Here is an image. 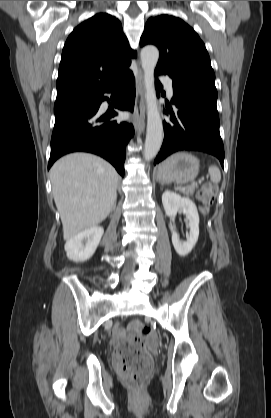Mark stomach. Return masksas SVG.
Wrapping results in <instances>:
<instances>
[{
  "mask_svg": "<svg viewBox=\"0 0 271 418\" xmlns=\"http://www.w3.org/2000/svg\"><path fill=\"white\" fill-rule=\"evenodd\" d=\"M199 172V161L186 152H178L163 161L156 171L157 180L161 183H188L193 181Z\"/></svg>",
  "mask_w": 271,
  "mask_h": 418,
  "instance_id": "0dacf381",
  "label": "stomach"
}]
</instances>
